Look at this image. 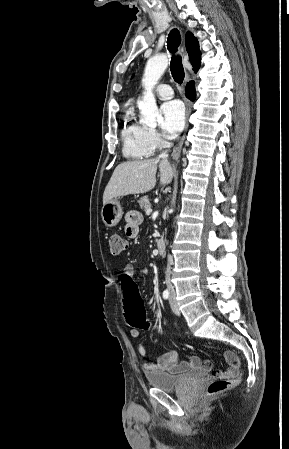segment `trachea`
Listing matches in <instances>:
<instances>
[{
  "label": "trachea",
  "instance_id": "trachea-1",
  "mask_svg": "<svg viewBox=\"0 0 289 449\" xmlns=\"http://www.w3.org/2000/svg\"><path fill=\"white\" fill-rule=\"evenodd\" d=\"M181 43V35L177 29H172L167 38V48L171 53L170 71L175 82L181 84L184 79L182 58L177 54Z\"/></svg>",
  "mask_w": 289,
  "mask_h": 449
}]
</instances>
